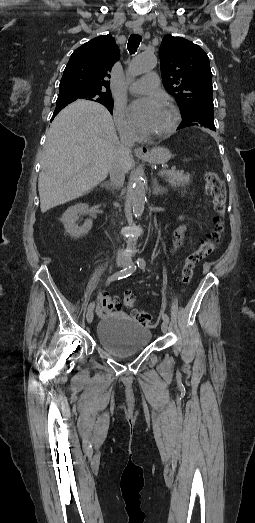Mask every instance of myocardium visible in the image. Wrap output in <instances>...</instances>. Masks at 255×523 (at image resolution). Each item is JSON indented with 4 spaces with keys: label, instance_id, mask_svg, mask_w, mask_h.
<instances>
[{
    "label": "myocardium",
    "instance_id": "myocardium-1",
    "mask_svg": "<svg viewBox=\"0 0 255 523\" xmlns=\"http://www.w3.org/2000/svg\"><path fill=\"white\" fill-rule=\"evenodd\" d=\"M162 104L169 106L173 110L174 122H173L171 128L161 136H158L156 138H148L146 136H141L142 140H144L145 142H156V141H160V140H163V139H166V138L172 136L177 131V129L181 123V114H180V111L177 108V106L169 101H163Z\"/></svg>",
    "mask_w": 255,
    "mask_h": 523
}]
</instances>
